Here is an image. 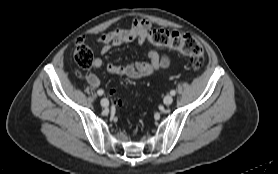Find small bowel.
Masks as SVG:
<instances>
[{
  "instance_id": "c3829d8e",
  "label": "small bowel",
  "mask_w": 278,
  "mask_h": 174,
  "mask_svg": "<svg viewBox=\"0 0 278 174\" xmlns=\"http://www.w3.org/2000/svg\"><path fill=\"white\" fill-rule=\"evenodd\" d=\"M151 22L147 19L137 18L132 21L128 27L117 28L111 32L100 35L97 42L102 46L101 55H106L112 48L125 43L136 41L139 45L149 44V49L146 53L148 61L146 62H131L127 65H119L110 63L107 65V71L113 75H125L131 79L137 80L143 77L152 75L159 69H166L170 65V56L161 54L158 48L152 47L148 41V35L151 30ZM103 60L101 57H96L93 60L95 69L101 68ZM86 80L93 88H98L101 85L100 78L94 73H88Z\"/></svg>"
}]
</instances>
